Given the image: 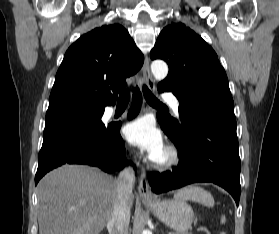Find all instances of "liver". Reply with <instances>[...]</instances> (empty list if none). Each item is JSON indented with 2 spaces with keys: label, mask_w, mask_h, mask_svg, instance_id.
Segmentation results:
<instances>
[{
  "label": "liver",
  "mask_w": 279,
  "mask_h": 234,
  "mask_svg": "<svg viewBox=\"0 0 279 234\" xmlns=\"http://www.w3.org/2000/svg\"><path fill=\"white\" fill-rule=\"evenodd\" d=\"M39 234H99L117 200L116 179L99 169L64 165L39 182ZM134 195L129 198L131 209Z\"/></svg>",
  "instance_id": "1"
}]
</instances>
